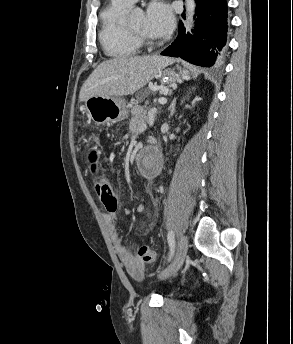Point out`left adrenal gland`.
<instances>
[{"mask_svg":"<svg viewBox=\"0 0 293 344\" xmlns=\"http://www.w3.org/2000/svg\"><path fill=\"white\" fill-rule=\"evenodd\" d=\"M182 103H183V101H182ZM175 106H176V98L173 99L171 106L169 108L170 116H173V114L175 113Z\"/></svg>","mask_w":293,"mask_h":344,"instance_id":"left-adrenal-gland-1","label":"left adrenal gland"}]
</instances>
